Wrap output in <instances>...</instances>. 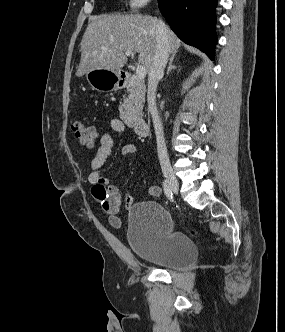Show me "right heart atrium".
I'll return each instance as SVG.
<instances>
[{
    "mask_svg": "<svg viewBox=\"0 0 285 332\" xmlns=\"http://www.w3.org/2000/svg\"><path fill=\"white\" fill-rule=\"evenodd\" d=\"M151 0H125L127 7L132 11H138L145 7Z\"/></svg>",
    "mask_w": 285,
    "mask_h": 332,
    "instance_id": "obj_1",
    "label": "right heart atrium"
}]
</instances>
